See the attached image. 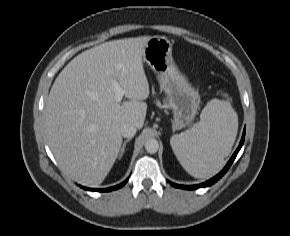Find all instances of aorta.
<instances>
[{"instance_id": "obj_1", "label": "aorta", "mask_w": 290, "mask_h": 236, "mask_svg": "<svg viewBox=\"0 0 290 236\" xmlns=\"http://www.w3.org/2000/svg\"><path fill=\"white\" fill-rule=\"evenodd\" d=\"M159 149V143L156 139H149L146 141L145 143V150L150 153V154H154L158 151Z\"/></svg>"}]
</instances>
